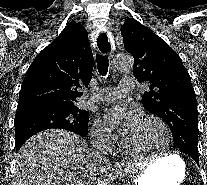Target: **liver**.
Instances as JSON below:
<instances>
[{
	"label": "liver",
	"mask_w": 207,
	"mask_h": 185,
	"mask_svg": "<svg viewBox=\"0 0 207 185\" xmlns=\"http://www.w3.org/2000/svg\"><path fill=\"white\" fill-rule=\"evenodd\" d=\"M95 153L84 139L65 129L33 135L16 159V185H84ZM94 185V183H93Z\"/></svg>",
	"instance_id": "1"
}]
</instances>
